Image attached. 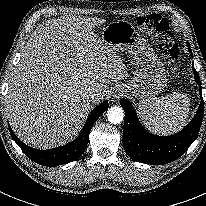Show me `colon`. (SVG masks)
I'll use <instances>...</instances> for the list:
<instances>
[{
	"mask_svg": "<svg viewBox=\"0 0 206 206\" xmlns=\"http://www.w3.org/2000/svg\"><path fill=\"white\" fill-rule=\"evenodd\" d=\"M135 24L139 32L156 38L164 60L172 65L174 70H178L179 49L171 39L168 21L159 15L153 14L138 17Z\"/></svg>",
	"mask_w": 206,
	"mask_h": 206,
	"instance_id": "colon-1",
	"label": "colon"
}]
</instances>
